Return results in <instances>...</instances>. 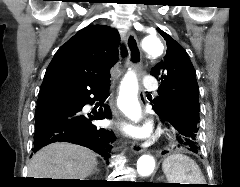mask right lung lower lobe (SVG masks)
I'll list each match as a JSON object with an SVG mask.
<instances>
[{
	"label": "right lung lower lobe",
	"mask_w": 240,
	"mask_h": 187,
	"mask_svg": "<svg viewBox=\"0 0 240 187\" xmlns=\"http://www.w3.org/2000/svg\"><path fill=\"white\" fill-rule=\"evenodd\" d=\"M109 86L108 83L96 87L71 102L54 100L38 105L35 111L33 151L53 142H71L85 146L108 160L111 151L109 143L114 140V133L97 127L93 122L111 118L109 108L100 107L90 113H83L82 109L86 104L100 100Z\"/></svg>",
	"instance_id": "right-lung-lower-lobe-1"
}]
</instances>
